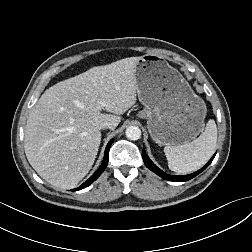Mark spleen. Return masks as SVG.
Returning a JSON list of instances; mask_svg holds the SVG:
<instances>
[{
	"label": "spleen",
	"mask_w": 252,
	"mask_h": 252,
	"mask_svg": "<svg viewBox=\"0 0 252 252\" xmlns=\"http://www.w3.org/2000/svg\"><path fill=\"white\" fill-rule=\"evenodd\" d=\"M216 144L217 127L215 121L210 119L197 139L164 148L169 169L183 174L197 170L214 154Z\"/></svg>",
	"instance_id": "obj_1"
}]
</instances>
